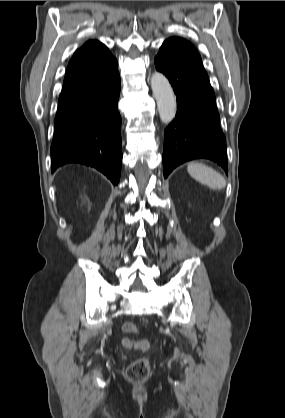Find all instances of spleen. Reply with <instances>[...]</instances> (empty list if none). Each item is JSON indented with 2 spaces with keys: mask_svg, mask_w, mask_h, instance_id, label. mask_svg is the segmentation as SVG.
<instances>
[{
  "mask_svg": "<svg viewBox=\"0 0 285 418\" xmlns=\"http://www.w3.org/2000/svg\"><path fill=\"white\" fill-rule=\"evenodd\" d=\"M187 171L192 178L212 189H223L226 186L224 177L204 164L191 162L188 164Z\"/></svg>",
  "mask_w": 285,
  "mask_h": 418,
  "instance_id": "obj_1",
  "label": "spleen"
}]
</instances>
